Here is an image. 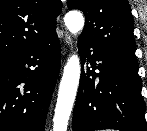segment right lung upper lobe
Here are the masks:
<instances>
[{"label":"right lung upper lobe","mask_w":147,"mask_h":131,"mask_svg":"<svg viewBox=\"0 0 147 131\" xmlns=\"http://www.w3.org/2000/svg\"><path fill=\"white\" fill-rule=\"evenodd\" d=\"M60 0H0V59L56 35Z\"/></svg>","instance_id":"cb5924a9"}]
</instances>
